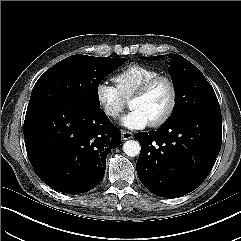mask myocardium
<instances>
[{"label":"myocardium","instance_id":"obj_1","mask_svg":"<svg viewBox=\"0 0 241 241\" xmlns=\"http://www.w3.org/2000/svg\"><path fill=\"white\" fill-rule=\"evenodd\" d=\"M159 82H166L170 87V91H171L170 103L167 109L165 110V112L159 118L149 122V126L151 127H159L165 124L173 115L177 106V101H178V88L175 81L169 76L157 75L147 80L146 82H144L130 96V99L143 97Z\"/></svg>","mask_w":241,"mask_h":241}]
</instances>
